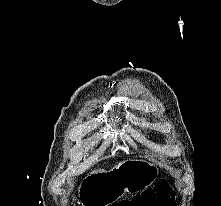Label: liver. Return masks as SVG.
I'll use <instances>...</instances> for the list:
<instances>
[{
  "instance_id": "obj_1",
  "label": "liver",
  "mask_w": 221,
  "mask_h": 206,
  "mask_svg": "<svg viewBox=\"0 0 221 206\" xmlns=\"http://www.w3.org/2000/svg\"><path fill=\"white\" fill-rule=\"evenodd\" d=\"M101 172H104V170H101V169L95 170V171L92 172V174H93V173H101Z\"/></svg>"
}]
</instances>
